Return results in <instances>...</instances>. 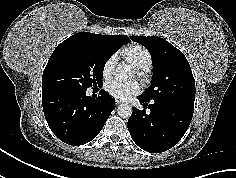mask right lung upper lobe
Returning a JSON list of instances; mask_svg holds the SVG:
<instances>
[{
  "mask_svg": "<svg viewBox=\"0 0 236 178\" xmlns=\"http://www.w3.org/2000/svg\"><path fill=\"white\" fill-rule=\"evenodd\" d=\"M77 40L121 44V45L130 41V39L126 35L105 36V35H100V34L81 32V33H76L72 35L71 37L63 41L62 43L69 42V41H77Z\"/></svg>",
  "mask_w": 236,
  "mask_h": 178,
  "instance_id": "obj_1",
  "label": "right lung upper lobe"
}]
</instances>
